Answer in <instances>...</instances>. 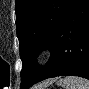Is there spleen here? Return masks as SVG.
Returning <instances> with one entry per match:
<instances>
[{"mask_svg":"<svg viewBox=\"0 0 89 89\" xmlns=\"http://www.w3.org/2000/svg\"><path fill=\"white\" fill-rule=\"evenodd\" d=\"M63 89H89V81L82 77L67 76L59 81Z\"/></svg>","mask_w":89,"mask_h":89,"instance_id":"spleen-1","label":"spleen"}]
</instances>
